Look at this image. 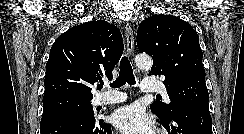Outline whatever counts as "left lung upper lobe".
<instances>
[{"label":"left lung upper lobe","mask_w":244,"mask_h":134,"mask_svg":"<svg viewBox=\"0 0 244 134\" xmlns=\"http://www.w3.org/2000/svg\"><path fill=\"white\" fill-rule=\"evenodd\" d=\"M137 46L153 59L149 75L165 76L171 103L151 104L156 115L168 117L174 108L183 106L209 111L203 53L190 24L171 15H153L140 23Z\"/></svg>","instance_id":"5c2ea615"}]
</instances>
